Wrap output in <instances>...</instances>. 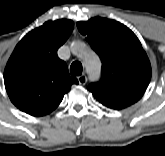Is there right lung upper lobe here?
I'll use <instances>...</instances> for the list:
<instances>
[{
	"instance_id": "obj_1",
	"label": "right lung upper lobe",
	"mask_w": 165,
	"mask_h": 156,
	"mask_svg": "<svg viewBox=\"0 0 165 156\" xmlns=\"http://www.w3.org/2000/svg\"><path fill=\"white\" fill-rule=\"evenodd\" d=\"M72 20L47 21L26 34L15 47L4 71L6 91L12 103L32 116L52 112L78 80L57 56L70 36Z\"/></svg>"
}]
</instances>
